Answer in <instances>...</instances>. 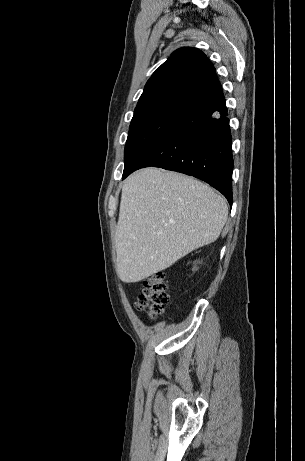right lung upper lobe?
Wrapping results in <instances>:
<instances>
[{
	"instance_id": "right-lung-upper-lobe-1",
	"label": "right lung upper lobe",
	"mask_w": 305,
	"mask_h": 461,
	"mask_svg": "<svg viewBox=\"0 0 305 461\" xmlns=\"http://www.w3.org/2000/svg\"><path fill=\"white\" fill-rule=\"evenodd\" d=\"M221 89L215 68L196 48L177 49L150 77L135 110L162 104L191 107Z\"/></svg>"
}]
</instances>
